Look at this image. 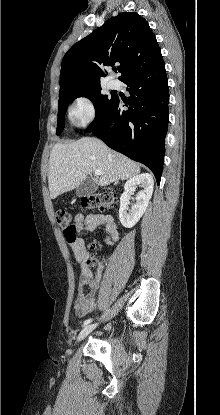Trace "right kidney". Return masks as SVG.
Listing matches in <instances>:
<instances>
[{"label": "right kidney", "mask_w": 220, "mask_h": 415, "mask_svg": "<svg viewBox=\"0 0 220 415\" xmlns=\"http://www.w3.org/2000/svg\"><path fill=\"white\" fill-rule=\"evenodd\" d=\"M143 187L136 196V203L128 210L129 199L134 194L136 187ZM154 187L153 177L148 173H142L130 178L124 185V192L120 197L119 219L126 228H132L144 214Z\"/></svg>", "instance_id": "right-kidney-1"}]
</instances>
